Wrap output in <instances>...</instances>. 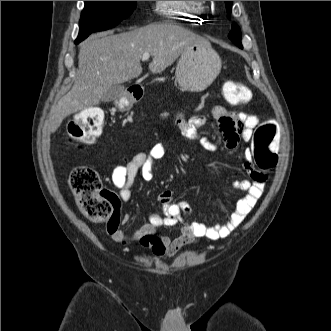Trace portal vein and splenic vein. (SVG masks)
<instances>
[{"instance_id": "1", "label": "portal vein and splenic vein", "mask_w": 331, "mask_h": 331, "mask_svg": "<svg viewBox=\"0 0 331 331\" xmlns=\"http://www.w3.org/2000/svg\"><path fill=\"white\" fill-rule=\"evenodd\" d=\"M150 54L149 53H145V54H143V56H142V61H146V60H148L149 58H150Z\"/></svg>"}]
</instances>
